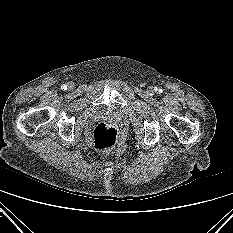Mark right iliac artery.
Returning a JSON list of instances; mask_svg holds the SVG:
<instances>
[{
	"instance_id": "82829eb1",
	"label": "right iliac artery",
	"mask_w": 233,
	"mask_h": 233,
	"mask_svg": "<svg viewBox=\"0 0 233 233\" xmlns=\"http://www.w3.org/2000/svg\"><path fill=\"white\" fill-rule=\"evenodd\" d=\"M61 89H62V90H66V89H67V86H66V85H62V86H61Z\"/></svg>"
}]
</instances>
